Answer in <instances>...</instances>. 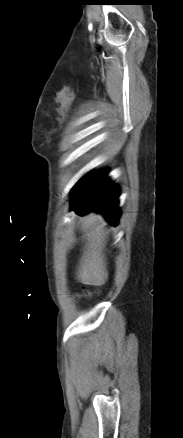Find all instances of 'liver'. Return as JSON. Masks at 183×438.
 I'll use <instances>...</instances> for the list:
<instances>
[{
  "label": "liver",
  "instance_id": "obj_1",
  "mask_svg": "<svg viewBox=\"0 0 183 438\" xmlns=\"http://www.w3.org/2000/svg\"><path fill=\"white\" fill-rule=\"evenodd\" d=\"M102 216L89 214L84 222L89 232L86 235V245L78 269V280L86 285H104L108 272L106 269L103 249L106 244V234Z\"/></svg>",
  "mask_w": 183,
  "mask_h": 438
}]
</instances>
